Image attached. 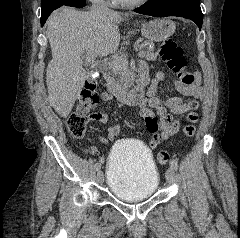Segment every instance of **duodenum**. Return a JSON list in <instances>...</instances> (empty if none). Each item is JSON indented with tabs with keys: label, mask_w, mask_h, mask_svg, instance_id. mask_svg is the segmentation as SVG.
Returning a JSON list of instances; mask_svg holds the SVG:
<instances>
[{
	"label": "duodenum",
	"mask_w": 240,
	"mask_h": 238,
	"mask_svg": "<svg viewBox=\"0 0 240 238\" xmlns=\"http://www.w3.org/2000/svg\"><path fill=\"white\" fill-rule=\"evenodd\" d=\"M103 76L107 82L108 90L121 102L128 105L139 104L144 98V87L148 82V75L144 72L140 73L139 80L129 89L116 84L107 71H103Z\"/></svg>",
	"instance_id": "obj_1"
}]
</instances>
